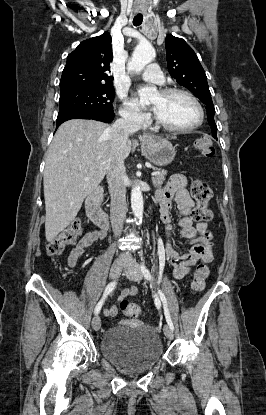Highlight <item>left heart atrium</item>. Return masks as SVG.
Segmentation results:
<instances>
[{"instance_id": "1", "label": "left heart atrium", "mask_w": 266, "mask_h": 415, "mask_svg": "<svg viewBox=\"0 0 266 415\" xmlns=\"http://www.w3.org/2000/svg\"><path fill=\"white\" fill-rule=\"evenodd\" d=\"M131 104L134 105V106H136L138 104V102H137L136 99H134Z\"/></svg>"}]
</instances>
